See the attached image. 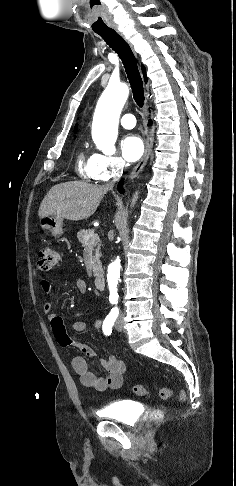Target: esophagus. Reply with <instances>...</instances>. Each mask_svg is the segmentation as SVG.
Segmentation results:
<instances>
[{"instance_id": "obj_1", "label": "esophagus", "mask_w": 236, "mask_h": 486, "mask_svg": "<svg viewBox=\"0 0 236 486\" xmlns=\"http://www.w3.org/2000/svg\"><path fill=\"white\" fill-rule=\"evenodd\" d=\"M113 29L120 36H122L124 38L123 34L120 32V30L118 29V27H114ZM128 44H130V43L128 42ZM153 141H154V131H153V128H150V130L148 132V135H147V138H146V141H145V151H144V154H143L142 158L140 159V161L138 162V164L131 171V173L129 175V179L135 178L143 170V168L146 165V163H147V161L149 159V156H150V154L152 152Z\"/></svg>"}]
</instances>
